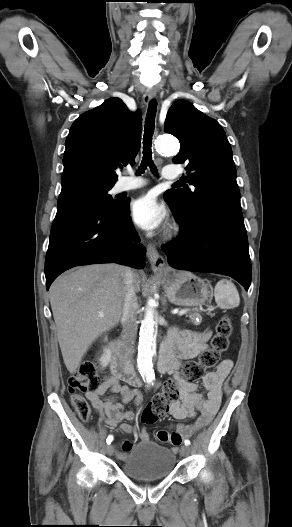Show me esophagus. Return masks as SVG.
<instances>
[{
	"mask_svg": "<svg viewBox=\"0 0 292 527\" xmlns=\"http://www.w3.org/2000/svg\"><path fill=\"white\" fill-rule=\"evenodd\" d=\"M155 97H156V91H147L144 95L143 100L146 104H148ZM147 257H148V260L151 264L153 271H162L165 268L166 262L164 258L159 254L155 245L149 244L147 246Z\"/></svg>",
	"mask_w": 292,
	"mask_h": 527,
	"instance_id": "34e87169",
	"label": "esophagus"
}]
</instances>
